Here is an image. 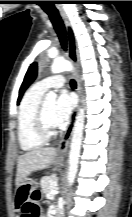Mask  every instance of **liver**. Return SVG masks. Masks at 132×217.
<instances>
[{
	"label": "liver",
	"instance_id": "1",
	"mask_svg": "<svg viewBox=\"0 0 132 217\" xmlns=\"http://www.w3.org/2000/svg\"><path fill=\"white\" fill-rule=\"evenodd\" d=\"M56 156L57 149L52 147L34 149L20 155L17 160L16 187L19 188L30 173L48 168Z\"/></svg>",
	"mask_w": 132,
	"mask_h": 217
}]
</instances>
